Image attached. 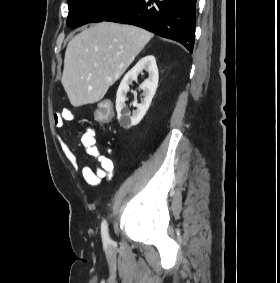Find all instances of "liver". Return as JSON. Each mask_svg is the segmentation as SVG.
Listing matches in <instances>:
<instances>
[{"mask_svg": "<svg viewBox=\"0 0 280 283\" xmlns=\"http://www.w3.org/2000/svg\"><path fill=\"white\" fill-rule=\"evenodd\" d=\"M153 34L132 25L101 22L68 43L62 85L74 107L100 101Z\"/></svg>", "mask_w": 280, "mask_h": 283, "instance_id": "liver-1", "label": "liver"}]
</instances>
